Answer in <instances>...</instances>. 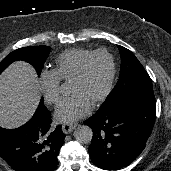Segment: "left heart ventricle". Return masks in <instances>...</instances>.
I'll return each instance as SVG.
<instances>
[{"label": "left heart ventricle", "mask_w": 171, "mask_h": 171, "mask_svg": "<svg viewBox=\"0 0 171 171\" xmlns=\"http://www.w3.org/2000/svg\"><path fill=\"white\" fill-rule=\"evenodd\" d=\"M110 75V61L105 55L94 57L85 74L78 80H70V94H80L92 105L105 90Z\"/></svg>", "instance_id": "left-heart-ventricle-1"}]
</instances>
